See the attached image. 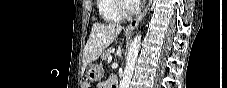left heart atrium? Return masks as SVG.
<instances>
[{
	"label": "left heart atrium",
	"mask_w": 227,
	"mask_h": 88,
	"mask_svg": "<svg viewBox=\"0 0 227 88\" xmlns=\"http://www.w3.org/2000/svg\"><path fill=\"white\" fill-rule=\"evenodd\" d=\"M133 3L135 6H139L142 4V1L141 0H133Z\"/></svg>",
	"instance_id": "39dd6f15"
}]
</instances>
